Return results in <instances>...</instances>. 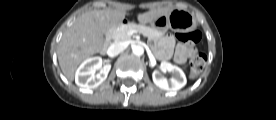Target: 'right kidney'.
Wrapping results in <instances>:
<instances>
[{"label": "right kidney", "instance_id": "obj_1", "mask_svg": "<svg viewBox=\"0 0 276 120\" xmlns=\"http://www.w3.org/2000/svg\"><path fill=\"white\" fill-rule=\"evenodd\" d=\"M99 69H101L100 72L95 75L96 70ZM110 69V64L102 68L101 57L88 58L77 69L75 82L80 88L87 90L94 89L106 80Z\"/></svg>", "mask_w": 276, "mask_h": 120}]
</instances>
